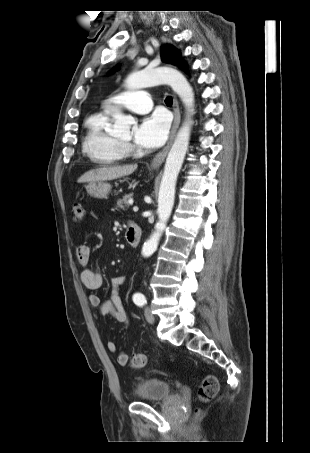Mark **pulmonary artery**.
<instances>
[{"label":"pulmonary artery","instance_id":"e3ab8cb5","mask_svg":"<svg viewBox=\"0 0 310 453\" xmlns=\"http://www.w3.org/2000/svg\"><path fill=\"white\" fill-rule=\"evenodd\" d=\"M117 106H123L137 114H144L152 109V101L150 95L144 91L122 92L105 102L107 110H112Z\"/></svg>","mask_w":310,"mask_h":453}]
</instances>
